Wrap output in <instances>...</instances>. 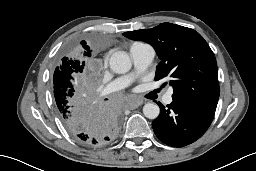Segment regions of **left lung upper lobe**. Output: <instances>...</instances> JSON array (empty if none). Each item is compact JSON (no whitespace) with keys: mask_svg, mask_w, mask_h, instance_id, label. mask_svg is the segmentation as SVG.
I'll return each instance as SVG.
<instances>
[{"mask_svg":"<svg viewBox=\"0 0 256 171\" xmlns=\"http://www.w3.org/2000/svg\"><path fill=\"white\" fill-rule=\"evenodd\" d=\"M123 35L153 46L161 59L156 67L155 80L170 78L172 96L218 102L220 89L216 59L207 42L195 30L161 23L152 29L129 31Z\"/></svg>","mask_w":256,"mask_h":171,"instance_id":"obj_1","label":"left lung upper lobe"}]
</instances>
